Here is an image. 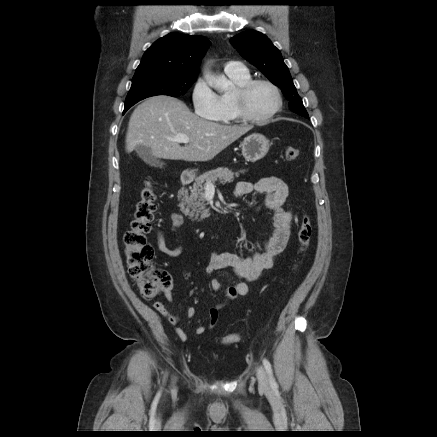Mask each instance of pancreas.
<instances>
[{"instance_id":"cf45deb5","label":"pancreas","mask_w":437,"mask_h":437,"mask_svg":"<svg viewBox=\"0 0 437 437\" xmlns=\"http://www.w3.org/2000/svg\"><path fill=\"white\" fill-rule=\"evenodd\" d=\"M241 173L244 171H240ZM234 176L238 177L239 172H232L228 168L220 167L209 172H205L195 179L190 195L184 192L181 208L183 212L190 217L191 220L201 221L210 216L209 209L205 203V187L208 182L221 183L233 182Z\"/></svg>"}]
</instances>
